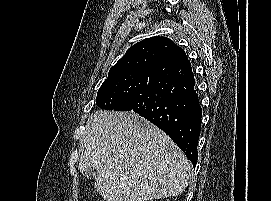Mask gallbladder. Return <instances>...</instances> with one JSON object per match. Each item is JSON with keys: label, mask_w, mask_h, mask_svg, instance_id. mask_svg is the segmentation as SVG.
Masks as SVG:
<instances>
[{"label": "gallbladder", "mask_w": 271, "mask_h": 201, "mask_svg": "<svg viewBox=\"0 0 271 201\" xmlns=\"http://www.w3.org/2000/svg\"><path fill=\"white\" fill-rule=\"evenodd\" d=\"M81 173L86 178H95L97 176L98 171H97V169L91 167V168L85 169Z\"/></svg>", "instance_id": "gallbladder-1"}]
</instances>
